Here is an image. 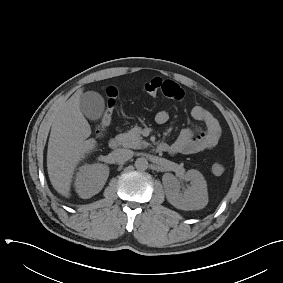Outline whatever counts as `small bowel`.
<instances>
[{"label": "small bowel", "mask_w": 283, "mask_h": 283, "mask_svg": "<svg viewBox=\"0 0 283 283\" xmlns=\"http://www.w3.org/2000/svg\"><path fill=\"white\" fill-rule=\"evenodd\" d=\"M161 94L173 100L184 98V90L171 80H163ZM191 117L202 122L203 128H185L178 138L171 144H166L165 152L170 154H193L214 148L220 139L221 128L216 117L201 106H194L190 110ZM169 119L166 110H160L155 115V121L158 124H165Z\"/></svg>", "instance_id": "obj_1"}]
</instances>
